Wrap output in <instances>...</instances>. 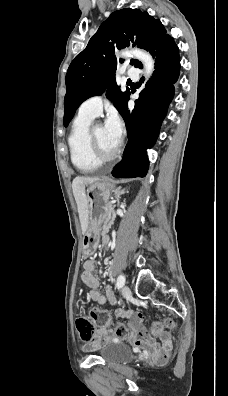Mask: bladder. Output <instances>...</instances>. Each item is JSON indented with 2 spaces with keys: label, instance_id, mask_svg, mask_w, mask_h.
<instances>
[{
  "label": "bladder",
  "instance_id": "1",
  "mask_svg": "<svg viewBox=\"0 0 228 396\" xmlns=\"http://www.w3.org/2000/svg\"><path fill=\"white\" fill-rule=\"evenodd\" d=\"M96 352L106 362L111 364L126 363L133 358L131 348L123 343L107 342L97 348Z\"/></svg>",
  "mask_w": 228,
  "mask_h": 396
}]
</instances>
